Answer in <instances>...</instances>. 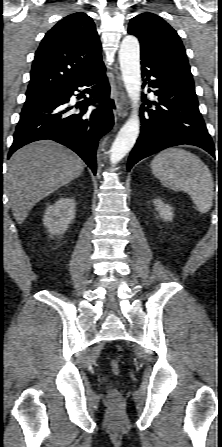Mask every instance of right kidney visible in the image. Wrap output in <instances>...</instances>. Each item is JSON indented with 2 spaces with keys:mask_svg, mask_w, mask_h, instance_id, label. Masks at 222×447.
<instances>
[{
  "mask_svg": "<svg viewBox=\"0 0 222 447\" xmlns=\"http://www.w3.org/2000/svg\"><path fill=\"white\" fill-rule=\"evenodd\" d=\"M75 218V201L60 198L49 205L43 215V224L51 235L64 234Z\"/></svg>",
  "mask_w": 222,
  "mask_h": 447,
  "instance_id": "obj_1",
  "label": "right kidney"
}]
</instances>
